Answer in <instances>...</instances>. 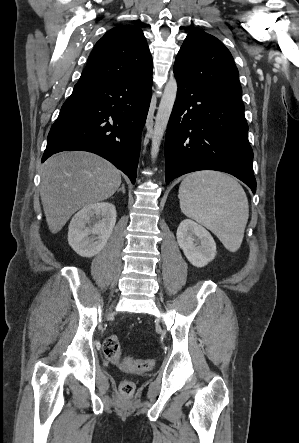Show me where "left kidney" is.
Instances as JSON below:
<instances>
[{
    "label": "left kidney",
    "mask_w": 299,
    "mask_h": 443,
    "mask_svg": "<svg viewBox=\"0 0 299 443\" xmlns=\"http://www.w3.org/2000/svg\"><path fill=\"white\" fill-rule=\"evenodd\" d=\"M177 242L188 261L204 267L215 258L216 244L211 234L192 220H183L178 226Z\"/></svg>",
    "instance_id": "left-kidney-1"
}]
</instances>
